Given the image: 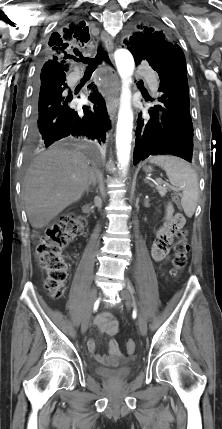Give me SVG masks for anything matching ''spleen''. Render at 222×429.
Here are the masks:
<instances>
[{
  "label": "spleen",
  "mask_w": 222,
  "mask_h": 429,
  "mask_svg": "<svg viewBox=\"0 0 222 429\" xmlns=\"http://www.w3.org/2000/svg\"><path fill=\"white\" fill-rule=\"evenodd\" d=\"M166 172L170 183L182 191L181 205L187 217H192L198 202L199 187L197 174L184 160L168 155H158L150 158Z\"/></svg>",
  "instance_id": "3e777b00"
}]
</instances>
